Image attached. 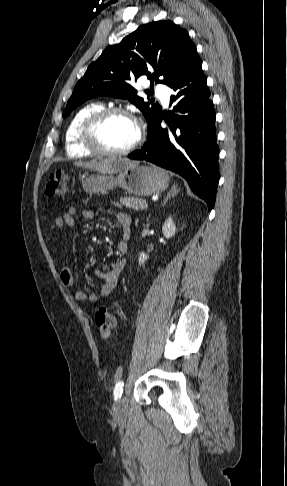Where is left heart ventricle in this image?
Returning <instances> with one entry per match:
<instances>
[{
    "instance_id": "left-heart-ventricle-1",
    "label": "left heart ventricle",
    "mask_w": 287,
    "mask_h": 486,
    "mask_svg": "<svg viewBox=\"0 0 287 486\" xmlns=\"http://www.w3.org/2000/svg\"><path fill=\"white\" fill-rule=\"evenodd\" d=\"M135 136V125L120 115L108 118L96 131L98 144L104 149L112 151L125 148L135 139Z\"/></svg>"
}]
</instances>
